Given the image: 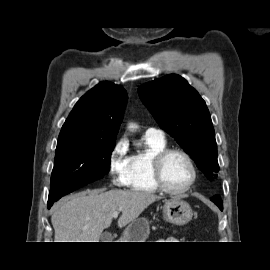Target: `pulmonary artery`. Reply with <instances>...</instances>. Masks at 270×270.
Segmentation results:
<instances>
[{
  "instance_id": "obj_1",
  "label": "pulmonary artery",
  "mask_w": 270,
  "mask_h": 270,
  "mask_svg": "<svg viewBox=\"0 0 270 270\" xmlns=\"http://www.w3.org/2000/svg\"><path fill=\"white\" fill-rule=\"evenodd\" d=\"M145 135L164 139V132L162 130L156 129V128L147 129Z\"/></svg>"
}]
</instances>
